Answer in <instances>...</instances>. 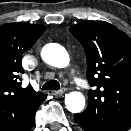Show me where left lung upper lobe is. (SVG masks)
I'll return each mask as SVG.
<instances>
[{
  "mask_svg": "<svg viewBox=\"0 0 131 131\" xmlns=\"http://www.w3.org/2000/svg\"><path fill=\"white\" fill-rule=\"evenodd\" d=\"M87 57L88 92L83 112L106 131L131 127V39L104 21H85L70 27Z\"/></svg>",
  "mask_w": 131,
  "mask_h": 131,
  "instance_id": "5c2ea615",
  "label": "left lung upper lobe"
}]
</instances>
